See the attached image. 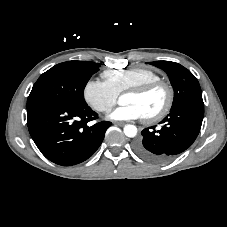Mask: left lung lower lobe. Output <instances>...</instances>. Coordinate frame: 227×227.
I'll list each match as a JSON object with an SVG mask.
<instances>
[{"label":"left lung lower lobe","mask_w":227,"mask_h":227,"mask_svg":"<svg viewBox=\"0 0 227 227\" xmlns=\"http://www.w3.org/2000/svg\"><path fill=\"white\" fill-rule=\"evenodd\" d=\"M204 105L184 104L170 113L156 126L144 129L135 142L134 150L151 162H165L189 148L198 136L204 116Z\"/></svg>","instance_id":"1"}]
</instances>
